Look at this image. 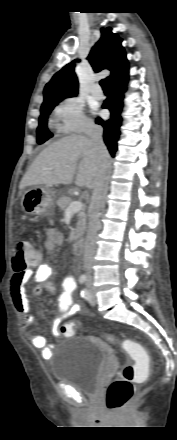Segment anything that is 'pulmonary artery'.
<instances>
[{"label":"pulmonary artery","instance_id":"e3ab8cb5","mask_svg":"<svg viewBox=\"0 0 177 440\" xmlns=\"http://www.w3.org/2000/svg\"><path fill=\"white\" fill-rule=\"evenodd\" d=\"M91 93H92V96L95 98V99H102L103 98V92L100 90V88L99 87H96L95 89H93L92 91H91Z\"/></svg>","mask_w":177,"mask_h":440}]
</instances>
